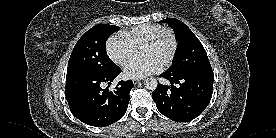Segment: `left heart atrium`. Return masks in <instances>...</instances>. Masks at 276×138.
<instances>
[{
  "label": "left heart atrium",
  "mask_w": 276,
  "mask_h": 138,
  "mask_svg": "<svg viewBox=\"0 0 276 138\" xmlns=\"http://www.w3.org/2000/svg\"><path fill=\"white\" fill-rule=\"evenodd\" d=\"M162 68L156 58L146 57L141 60H131L128 62L124 69L125 76L129 78H143L150 74L159 72Z\"/></svg>",
  "instance_id": "1"
}]
</instances>
